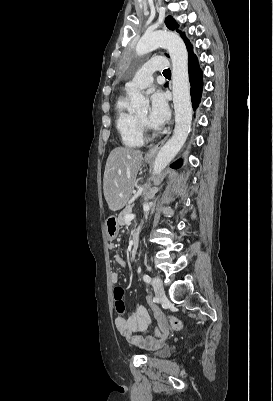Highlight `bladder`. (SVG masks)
Returning <instances> with one entry per match:
<instances>
[{
  "mask_svg": "<svg viewBox=\"0 0 273 401\" xmlns=\"http://www.w3.org/2000/svg\"><path fill=\"white\" fill-rule=\"evenodd\" d=\"M170 353V349L167 346L159 347L157 348L153 355L157 357H164L167 356Z\"/></svg>",
  "mask_w": 273,
  "mask_h": 401,
  "instance_id": "obj_1",
  "label": "bladder"
}]
</instances>
